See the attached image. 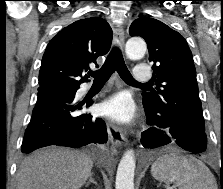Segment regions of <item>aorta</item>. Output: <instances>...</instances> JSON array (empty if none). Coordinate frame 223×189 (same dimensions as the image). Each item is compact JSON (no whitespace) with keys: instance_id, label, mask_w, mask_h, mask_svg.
<instances>
[{"instance_id":"1","label":"aorta","mask_w":223,"mask_h":189,"mask_svg":"<svg viewBox=\"0 0 223 189\" xmlns=\"http://www.w3.org/2000/svg\"><path fill=\"white\" fill-rule=\"evenodd\" d=\"M147 50L142 38L133 37L126 42L125 52L129 59L142 58ZM135 157L133 150L124 153L117 168L116 189H134Z\"/></svg>"}]
</instances>
